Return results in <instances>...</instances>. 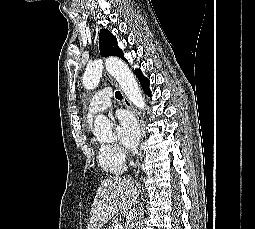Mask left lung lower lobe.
Instances as JSON below:
<instances>
[{
  "instance_id": "left-lung-lower-lobe-1",
  "label": "left lung lower lobe",
  "mask_w": 255,
  "mask_h": 229,
  "mask_svg": "<svg viewBox=\"0 0 255 229\" xmlns=\"http://www.w3.org/2000/svg\"><path fill=\"white\" fill-rule=\"evenodd\" d=\"M136 74L138 76V79L141 83V86L143 88V90L145 91L146 94H148V96L151 95L150 91H149V80L148 78L144 77V75L141 73L140 70H136Z\"/></svg>"
}]
</instances>
